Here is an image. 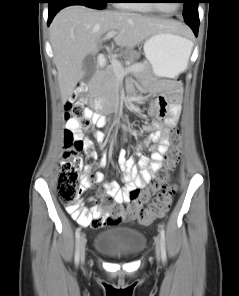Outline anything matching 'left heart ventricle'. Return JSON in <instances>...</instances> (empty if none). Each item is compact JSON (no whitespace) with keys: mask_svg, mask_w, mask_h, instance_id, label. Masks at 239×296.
<instances>
[{"mask_svg":"<svg viewBox=\"0 0 239 296\" xmlns=\"http://www.w3.org/2000/svg\"><path fill=\"white\" fill-rule=\"evenodd\" d=\"M158 6L167 12H171L176 9L177 3H171L168 1L158 0Z\"/></svg>","mask_w":239,"mask_h":296,"instance_id":"b2bd125f","label":"left heart ventricle"}]
</instances>
